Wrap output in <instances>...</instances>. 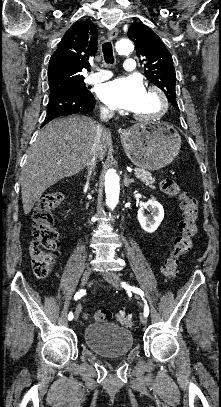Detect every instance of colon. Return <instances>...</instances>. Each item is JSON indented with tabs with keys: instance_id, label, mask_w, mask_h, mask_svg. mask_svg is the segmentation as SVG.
Segmentation results:
<instances>
[{
	"instance_id": "colon-1",
	"label": "colon",
	"mask_w": 221,
	"mask_h": 407,
	"mask_svg": "<svg viewBox=\"0 0 221 407\" xmlns=\"http://www.w3.org/2000/svg\"><path fill=\"white\" fill-rule=\"evenodd\" d=\"M163 193L176 197L179 200L182 211L178 222V235L174 241V247L170 256L165 261L162 272L168 281L175 278L178 273L180 258L187 254L193 244L196 234V219L198 217V201L189 193L183 191L172 179L161 181ZM62 194L50 193L42 195L33 211L32 239L29 246V253L32 258L34 274L37 277H47L51 273L52 259L51 253L56 248L58 234L53 227L54 218L52 211L62 202ZM112 318L109 310H98L93 313L92 319L106 322ZM116 320L123 326L129 327L133 324L132 317L125 311L120 310L116 314Z\"/></svg>"
}]
</instances>
